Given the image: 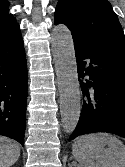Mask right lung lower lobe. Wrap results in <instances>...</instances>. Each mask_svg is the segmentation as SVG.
Returning <instances> with one entry per match:
<instances>
[{"label": "right lung lower lobe", "instance_id": "1", "mask_svg": "<svg viewBox=\"0 0 125 167\" xmlns=\"http://www.w3.org/2000/svg\"><path fill=\"white\" fill-rule=\"evenodd\" d=\"M27 64L20 30L0 35V135L24 144Z\"/></svg>", "mask_w": 125, "mask_h": 167}]
</instances>
